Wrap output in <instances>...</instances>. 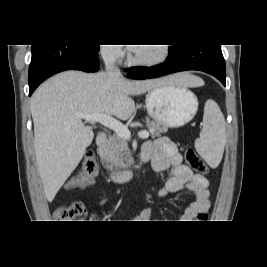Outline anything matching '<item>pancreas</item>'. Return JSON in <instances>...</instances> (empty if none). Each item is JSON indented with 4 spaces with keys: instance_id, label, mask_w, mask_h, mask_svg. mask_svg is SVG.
I'll use <instances>...</instances> for the list:
<instances>
[{
    "instance_id": "1",
    "label": "pancreas",
    "mask_w": 267,
    "mask_h": 267,
    "mask_svg": "<svg viewBox=\"0 0 267 267\" xmlns=\"http://www.w3.org/2000/svg\"><path fill=\"white\" fill-rule=\"evenodd\" d=\"M146 126L149 129L152 138L159 137L162 133L167 131L166 126H162L148 119L146 120ZM101 158L106 164L105 167L110 170L125 169L133 161L127 140L118 135L109 138L103 148Z\"/></svg>"
}]
</instances>
